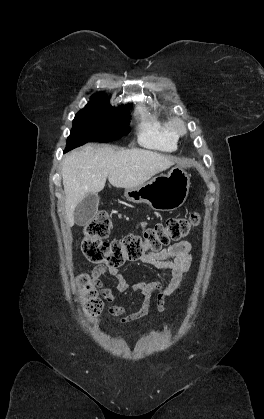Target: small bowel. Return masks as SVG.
<instances>
[{"label": "small bowel", "mask_w": 264, "mask_h": 419, "mask_svg": "<svg viewBox=\"0 0 264 419\" xmlns=\"http://www.w3.org/2000/svg\"><path fill=\"white\" fill-rule=\"evenodd\" d=\"M146 222H141L139 228L145 230ZM192 243L186 240L172 244L167 249L159 252H149L140 261L153 266L154 268L169 272L170 278L167 284L162 280L139 281L130 285L119 273L118 268L113 269L104 265L96 266L90 274L96 287L100 288L104 298L111 302L115 299L114 291L106 287L102 276L106 273L114 276L116 289L120 293L128 291L139 292L141 295L140 307L130 312L125 306L113 305L108 308V313L117 317L121 324H129L145 317L149 311L152 294L157 293V308L160 312L165 309V299L172 296L181 286L187 271L189 270L193 257L191 255Z\"/></svg>", "instance_id": "obj_1"}]
</instances>
